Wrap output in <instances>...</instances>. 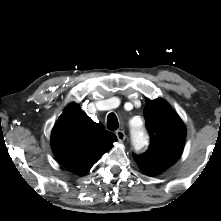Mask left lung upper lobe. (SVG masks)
<instances>
[{
    "instance_id": "left-lung-upper-lobe-1",
    "label": "left lung upper lobe",
    "mask_w": 221,
    "mask_h": 221,
    "mask_svg": "<svg viewBox=\"0 0 221 221\" xmlns=\"http://www.w3.org/2000/svg\"><path fill=\"white\" fill-rule=\"evenodd\" d=\"M144 117L151 144L145 154L133 157L145 173L156 175L181 156L186 130L180 117L162 99H148Z\"/></svg>"
}]
</instances>
